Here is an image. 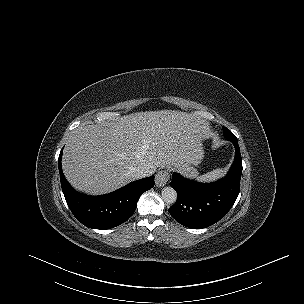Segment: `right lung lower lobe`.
<instances>
[{"label": "right lung lower lobe", "instance_id": "1", "mask_svg": "<svg viewBox=\"0 0 304 304\" xmlns=\"http://www.w3.org/2000/svg\"><path fill=\"white\" fill-rule=\"evenodd\" d=\"M58 159L61 187L73 215L93 229H110L128 220L136 210L140 196L154 186V176L143 178L106 195L87 196L75 191L68 183Z\"/></svg>", "mask_w": 304, "mask_h": 304}]
</instances>
